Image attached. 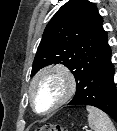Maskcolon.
<instances>
[{"mask_svg": "<svg viewBox=\"0 0 117 131\" xmlns=\"http://www.w3.org/2000/svg\"><path fill=\"white\" fill-rule=\"evenodd\" d=\"M35 131H67V129L59 124H46L37 127Z\"/></svg>", "mask_w": 117, "mask_h": 131, "instance_id": "1", "label": "colon"}]
</instances>
